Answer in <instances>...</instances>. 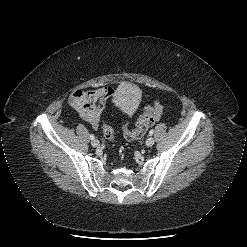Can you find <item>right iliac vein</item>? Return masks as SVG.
Here are the masks:
<instances>
[{
	"label": "right iliac vein",
	"instance_id": "obj_1",
	"mask_svg": "<svg viewBox=\"0 0 247 247\" xmlns=\"http://www.w3.org/2000/svg\"><path fill=\"white\" fill-rule=\"evenodd\" d=\"M91 144H92L93 147H98V146L100 145V142H99V140L94 139V140L91 142Z\"/></svg>",
	"mask_w": 247,
	"mask_h": 247
}]
</instances>
